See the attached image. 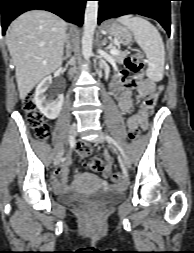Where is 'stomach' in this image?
<instances>
[{"label":"stomach","instance_id":"stomach-1","mask_svg":"<svg viewBox=\"0 0 194 253\" xmlns=\"http://www.w3.org/2000/svg\"><path fill=\"white\" fill-rule=\"evenodd\" d=\"M103 31L109 37L114 38L118 44L129 45L132 42L131 31L117 22L106 23L103 27Z\"/></svg>","mask_w":194,"mask_h":253}]
</instances>
